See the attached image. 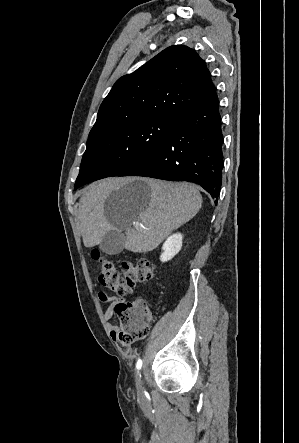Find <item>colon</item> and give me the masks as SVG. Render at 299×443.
I'll use <instances>...</instances> for the list:
<instances>
[{
    "mask_svg": "<svg viewBox=\"0 0 299 443\" xmlns=\"http://www.w3.org/2000/svg\"><path fill=\"white\" fill-rule=\"evenodd\" d=\"M93 258L100 261V283L119 295L130 293L137 283L149 282L155 277L156 266L146 259L124 262L121 272L111 261L101 258L99 252L95 251ZM115 313L120 324L118 340L122 351L127 353L132 344L148 335L154 318L142 299L118 303Z\"/></svg>",
    "mask_w": 299,
    "mask_h": 443,
    "instance_id": "colon-1",
    "label": "colon"
}]
</instances>
